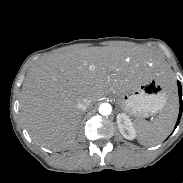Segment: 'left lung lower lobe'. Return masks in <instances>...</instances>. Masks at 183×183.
I'll return each mask as SVG.
<instances>
[{
  "instance_id": "1",
  "label": "left lung lower lobe",
  "mask_w": 183,
  "mask_h": 183,
  "mask_svg": "<svg viewBox=\"0 0 183 183\" xmlns=\"http://www.w3.org/2000/svg\"><path fill=\"white\" fill-rule=\"evenodd\" d=\"M178 92H179V101H180V111H179V116H178L175 128L179 124V121H180V118H181V115H182V111H183L182 89H181V84L179 82H178Z\"/></svg>"
}]
</instances>
